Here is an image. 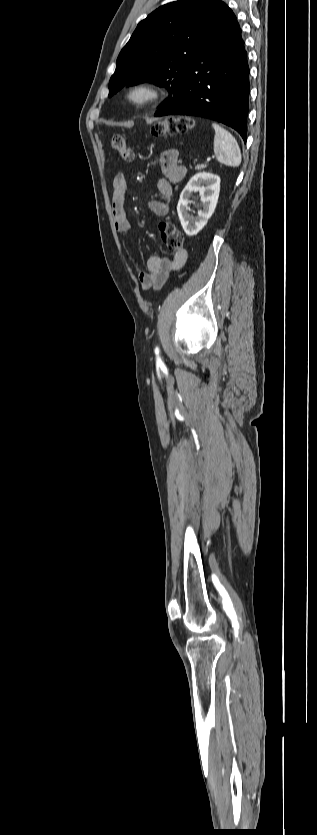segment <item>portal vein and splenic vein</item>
Segmentation results:
<instances>
[{
    "label": "portal vein and splenic vein",
    "mask_w": 317,
    "mask_h": 835,
    "mask_svg": "<svg viewBox=\"0 0 317 835\" xmlns=\"http://www.w3.org/2000/svg\"><path fill=\"white\" fill-rule=\"evenodd\" d=\"M212 159H214V157H213V156H212V157H207V158H206V162H207V163H209V162H211V160H212Z\"/></svg>",
    "instance_id": "obj_1"
}]
</instances>
